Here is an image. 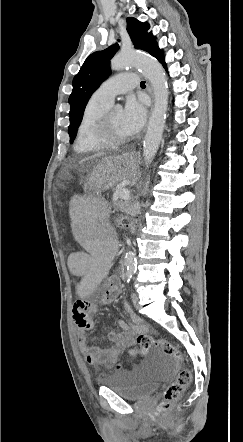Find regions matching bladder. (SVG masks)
I'll return each mask as SVG.
<instances>
[{
	"label": "bladder",
	"mask_w": 243,
	"mask_h": 442,
	"mask_svg": "<svg viewBox=\"0 0 243 442\" xmlns=\"http://www.w3.org/2000/svg\"><path fill=\"white\" fill-rule=\"evenodd\" d=\"M176 362L168 355L152 354L139 365L111 372L99 379L102 387L109 388L127 400H141L156 392L174 377Z\"/></svg>",
	"instance_id": "bladder-1"
}]
</instances>
